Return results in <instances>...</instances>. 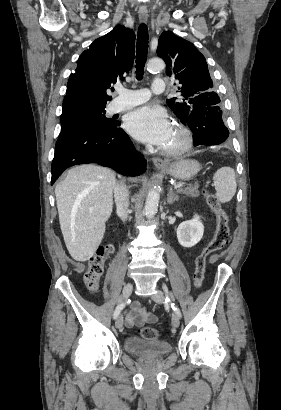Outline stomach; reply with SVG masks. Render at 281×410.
I'll list each match as a JSON object with an SVG mask.
<instances>
[{"mask_svg":"<svg viewBox=\"0 0 281 410\" xmlns=\"http://www.w3.org/2000/svg\"><path fill=\"white\" fill-rule=\"evenodd\" d=\"M201 169L198 161L192 159H180L169 162L161 170L180 180H189L194 177Z\"/></svg>","mask_w":281,"mask_h":410,"instance_id":"obj_1","label":"stomach"}]
</instances>
